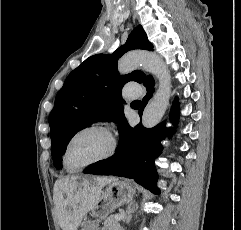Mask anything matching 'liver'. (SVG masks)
Returning a JSON list of instances; mask_svg holds the SVG:
<instances>
[{"label":"liver","mask_w":241,"mask_h":230,"mask_svg":"<svg viewBox=\"0 0 241 230\" xmlns=\"http://www.w3.org/2000/svg\"><path fill=\"white\" fill-rule=\"evenodd\" d=\"M77 178L59 179L54 185V203L62 230H77L83 217L98 203L103 187L115 182L116 177H97L81 185Z\"/></svg>","instance_id":"liver-1"}]
</instances>
